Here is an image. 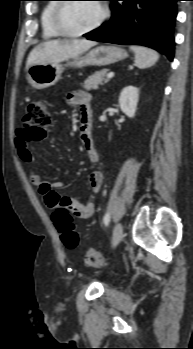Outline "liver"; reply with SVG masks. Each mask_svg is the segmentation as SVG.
Returning a JSON list of instances; mask_svg holds the SVG:
<instances>
[{
	"label": "liver",
	"mask_w": 193,
	"mask_h": 349,
	"mask_svg": "<svg viewBox=\"0 0 193 349\" xmlns=\"http://www.w3.org/2000/svg\"><path fill=\"white\" fill-rule=\"evenodd\" d=\"M95 45V41L85 39H63L43 42L30 52L26 70L28 71L34 64L59 63L78 57Z\"/></svg>",
	"instance_id": "1"
}]
</instances>
